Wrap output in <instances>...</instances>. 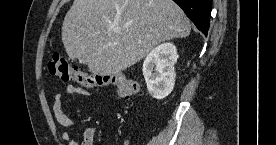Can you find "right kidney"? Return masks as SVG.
Returning a JSON list of instances; mask_svg holds the SVG:
<instances>
[{"mask_svg": "<svg viewBox=\"0 0 276 145\" xmlns=\"http://www.w3.org/2000/svg\"><path fill=\"white\" fill-rule=\"evenodd\" d=\"M177 59V49L172 43L158 45L145 58L142 71L147 89L153 98L161 100L172 92L176 77L174 64Z\"/></svg>", "mask_w": 276, "mask_h": 145, "instance_id": "right-kidney-1", "label": "right kidney"}]
</instances>
